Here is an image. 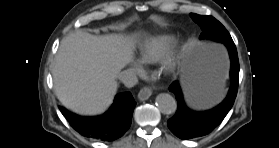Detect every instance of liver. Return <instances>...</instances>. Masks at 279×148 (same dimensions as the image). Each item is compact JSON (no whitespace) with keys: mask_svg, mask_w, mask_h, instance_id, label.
I'll return each mask as SVG.
<instances>
[{"mask_svg":"<svg viewBox=\"0 0 279 148\" xmlns=\"http://www.w3.org/2000/svg\"><path fill=\"white\" fill-rule=\"evenodd\" d=\"M134 39L77 31L59 46L52 68L59 101L83 115L104 112L117 91V75L132 59ZM188 77L183 73V84Z\"/></svg>","mask_w":279,"mask_h":148,"instance_id":"liver-1","label":"liver"}]
</instances>
